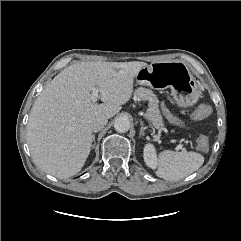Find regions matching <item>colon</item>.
I'll list each match as a JSON object with an SVG mask.
<instances>
[{
    "mask_svg": "<svg viewBox=\"0 0 241 241\" xmlns=\"http://www.w3.org/2000/svg\"><path fill=\"white\" fill-rule=\"evenodd\" d=\"M211 113H212V108L207 104H203L197 107L192 112V117L195 120H203L209 117ZM208 146H209V142L206 136H200L197 139V147L199 150L206 151L208 149Z\"/></svg>",
    "mask_w": 241,
    "mask_h": 241,
    "instance_id": "5ec220e1",
    "label": "colon"
}]
</instances>
